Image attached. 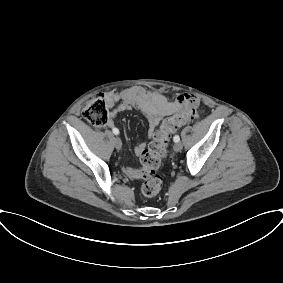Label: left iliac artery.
Returning <instances> with one entry per match:
<instances>
[{
  "label": "left iliac artery",
  "instance_id": "1",
  "mask_svg": "<svg viewBox=\"0 0 283 283\" xmlns=\"http://www.w3.org/2000/svg\"><path fill=\"white\" fill-rule=\"evenodd\" d=\"M174 142H179L180 141V137L178 135H175L173 137Z\"/></svg>",
  "mask_w": 283,
  "mask_h": 283
}]
</instances>
